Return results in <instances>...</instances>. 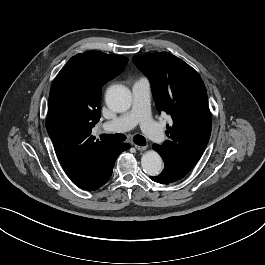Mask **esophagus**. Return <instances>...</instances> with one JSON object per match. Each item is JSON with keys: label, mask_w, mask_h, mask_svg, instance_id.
I'll return each instance as SVG.
<instances>
[{"label": "esophagus", "mask_w": 265, "mask_h": 265, "mask_svg": "<svg viewBox=\"0 0 265 265\" xmlns=\"http://www.w3.org/2000/svg\"><path fill=\"white\" fill-rule=\"evenodd\" d=\"M134 147L138 150V151H145L147 149L146 145L140 146V145H134Z\"/></svg>", "instance_id": "obj_1"}]
</instances>
